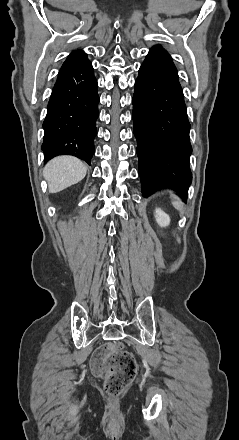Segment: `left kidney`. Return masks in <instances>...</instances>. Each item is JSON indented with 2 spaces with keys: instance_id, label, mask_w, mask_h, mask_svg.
<instances>
[{
  "instance_id": "left-kidney-1",
  "label": "left kidney",
  "mask_w": 239,
  "mask_h": 440,
  "mask_svg": "<svg viewBox=\"0 0 239 440\" xmlns=\"http://www.w3.org/2000/svg\"><path fill=\"white\" fill-rule=\"evenodd\" d=\"M155 218H156V222L157 224H159V226H161V228H165V226H169L170 224V218L169 216H167V214H165V212H162V210H160V208H157V210H155Z\"/></svg>"
}]
</instances>
